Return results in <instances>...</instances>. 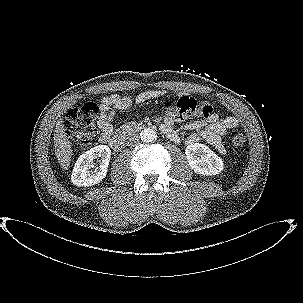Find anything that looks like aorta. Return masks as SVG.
<instances>
[{"instance_id":"762f6f07","label":"aorta","mask_w":303,"mask_h":303,"mask_svg":"<svg viewBox=\"0 0 303 303\" xmlns=\"http://www.w3.org/2000/svg\"><path fill=\"white\" fill-rule=\"evenodd\" d=\"M140 139L145 142H153L157 139V133L153 128H145L140 132Z\"/></svg>"}]
</instances>
